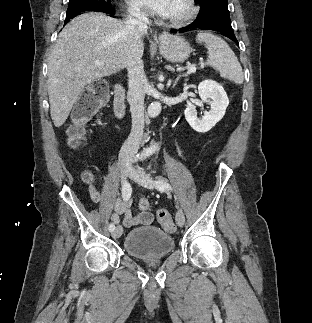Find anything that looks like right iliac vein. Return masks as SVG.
Returning a JSON list of instances; mask_svg holds the SVG:
<instances>
[{
    "mask_svg": "<svg viewBox=\"0 0 312 323\" xmlns=\"http://www.w3.org/2000/svg\"><path fill=\"white\" fill-rule=\"evenodd\" d=\"M122 172H123V176H124V178H125V179H128V178H130V177L132 176V174H133V169H132V167H131V166H129V165H124V166H123V168H122ZM122 231H123L122 226H121V225H117V226L115 227V229L113 230V232H112V237H113L114 239L119 238V237L121 236V234H122Z\"/></svg>",
    "mask_w": 312,
    "mask_h": 323,
    "instance_id": "obj_1",
    "label": "right iliac vein"
}]
</instances>
